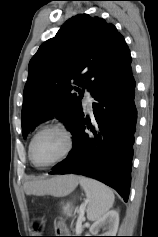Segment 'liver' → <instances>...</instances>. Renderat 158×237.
Masks as SVG:
<instances>
[{
	"label": "liver",
	"mask_w": 158,
	"mask_h": 237,
	"mask_svg": "<svg viewBox=\"0 0 158 237\" xmlns=\"http://www.w3.org/2000/svg\"><path fill=\"white\" fill-rule=\"evenodd\" d=\"M80 181L76 175L56 176L50 179H35L24 184L26 194L59 196L74 190Z\"/></svg>",
	"instance_id": "1"
}]
</instances>
